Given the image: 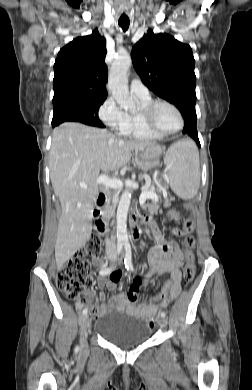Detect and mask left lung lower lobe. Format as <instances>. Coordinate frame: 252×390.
I'll return each instance as SVG.
<instances>
[{
  "instance_id": "left-lung-lower-lobe-1",
  "label": "left lung lower lobe",
  "mask_w": 252,
  "mask_h": 390,
  "mask_svg": "<svg viewBox=\"0 0 252 390\" xmlns=\"http://www.w3.org/2000/svg\"><path fill=\"white\" fill-rule=\"evenodd\" d=\"M184 128H183V133L188 134L190 137H192L198 146H200V142L198 139V134H197V128H196V122H197V117L196 116H189L184 118Z\"/></svg>"
}]
</instances>
